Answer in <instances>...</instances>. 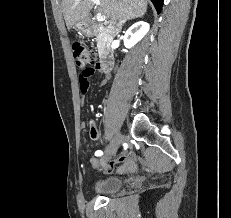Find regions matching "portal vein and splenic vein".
Wrapping results in <instances>:
<instances>
[{
  "mask_svg": "<svg viewBox=\"0 0 231 218\" xmlns=\"http://www.w3.org/2000/svg\"><path fill=\"white\" fill-rule=\"evenodd\" d=\"M77 1H79V0H77ZM93 1V3L95 4V5H100V0H92ZM105 15H103V14H101V13H98L97 15H96V19H97V21H99V22H102V21H104L105 20Z\"/></svg>",
  "mask_w": 231,
  "mask_h": 218,
  "instance_id": "18ae733b",
  "label": "portal vein and splenic vein"
}]
</instances>
